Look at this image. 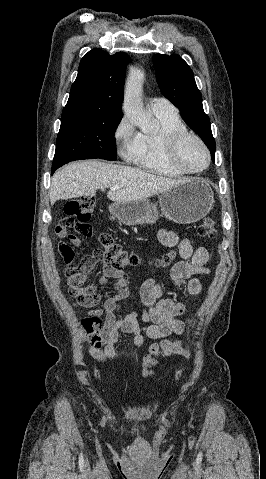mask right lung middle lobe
<instances>
[{"label":"right lung middle lobe","instance_id":"dd1d6c3e","mask_svg":"<svg viewBox=\"0 0 266 479\" xmlns=\"http://www.w3.org/2000/svg\"><path fill=\"white\" fill-rule=\"evenodd\" d=\"M123 116L69 114L61 116L53 161L117 159L114 134Z\"/></svg>","mask_w":266,"mask_h":479}]
</instances>
